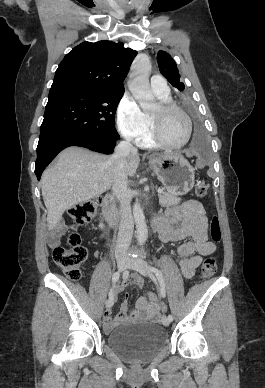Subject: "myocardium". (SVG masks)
<instances>
[{
	"label": "myocardium",
	"instance_id": "obj_1",
	"mask_svg": "<svg viewBox=\"0 0 265 388\" xmlns=\"http://www.w3.org/2000/svg\"><path fill=\"white\" fill-rule=\"evenodd\" d=\"M150 88L152 89V84L150 85ZM152 91L155 92V91H167V90H153L152 89ZM159 107L163 111L175 110L183 116L184 124H185V137H184V140L179 144L168 143L161 135L156 116L152 115L151 116L152 132H153V137H154L155 141L158 144H160L161 146H163L165 148H169V149H178V148L185 146L187 144V142L189 141V139L191 137V132H192L191 119H190L189 115L181 107H179L176 104L170 103V102L160 103Z\"/></svg>",
	"mask_w": 265,
	"mask_h": 388
}]
</instances>
